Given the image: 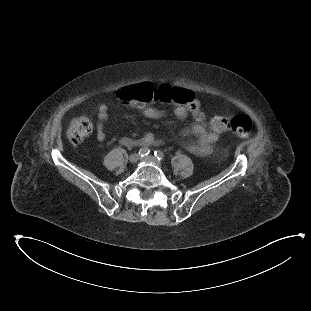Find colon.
I'll return each instance as SVG.
<instances>
[{"instance_id": "colon-1", "label": "colon", "mask_w": 311, "mask_h": 311, "mask_svg": "<svg viewBox=\"0 0 311 311\" xmlns=\"http://www.w3.org/2000/svg\"><path fill=\"white\" fill-rule=\"evenodd\" d=\"M119 100L127 103L130 109L136 108L139 104L167 103L176 104L186 108L188 113L195 117H203L204 112L196 96L189 90L175 89L172 87L156 88L153 84L147 83L140 86L124 87L119 90ZM133 102V103H131ZM233 131L239 137H245L250 129V120L245 114H237L234 117ZM228 118L215 116L211 119L209 127L216 132H227ZM92 123L89 117L81 116L74 119L66 132L69 142L77 146L85 140L92 132Z\"/></svg>"}]
</instances>
